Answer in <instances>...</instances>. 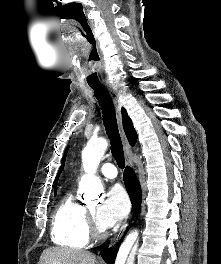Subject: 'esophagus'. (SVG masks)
Masks as SVG:
<instances>
[{
  "mask_svg": "<svg viewBox=\"0 0 221 264\" xmlns=\"http://www.w3.org/2000/svg\"><path fill=\"white\" fill-rule=\"evenodd\" d=\"M106 89L112 98V101H113V104H114V107L116 110V117H117L120 135H121L122 142H123L126 164L128 166H132L131 148H130V145L128 143V140L125 136V133H124V130L122 127V116H121L122 105H121V102L119 100L118 94L110 85H106ZM127 226H128V223H124L121 226V228L118 230V232L112 238L110 246H114L120 240V238L122 237L124 230L126 229Z\"/></svg>",
  "mask_w": 221,
  "mask_h": 264,
  "instance_id": "1",
  "label": "esophagus"
}]
</instances>
